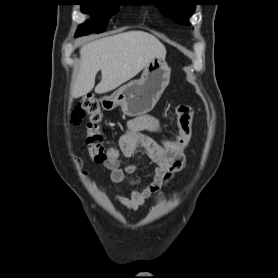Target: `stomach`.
Listing matches in <instances>:
<instances>
[{
    "instance_id": "1",
    "label": "stomach",
    "mask_w": 278,
    "mask_h": 278,
    "mask_svg": "<svg viewBox=\"0 0 278 278\" xmlns=\"http://www.w3.org/2000/svg\"><path fill=\"white\" fill-rule=\"evenodd\" d=\"M171 69L165 57H156L148 63L139 80H134L120 87L112 95L102 99L105 109L121 107L122 112L130 117L150 112L170 82Z\"/></svg>"
}]
</instances>
